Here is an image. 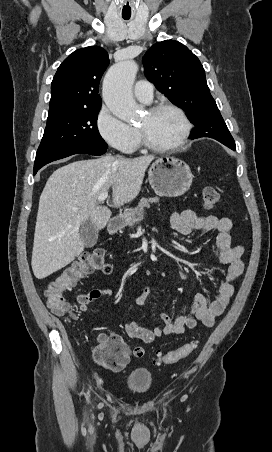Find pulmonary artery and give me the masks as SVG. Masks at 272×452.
I'll return each mask as SVG.
<instances>
[{
    "label": "pulmonary artery",
    "mask_w": 272,
    "mask_h": 452,
    "mask_svg": "<svg viewBox=\"0 0 272 452\" xmlns=\"http://www.w3.org/2000/svg\"><path fill=\"white\" fill-rule=\"evenodd\" d=\"M134 95L138 101L150 103L153 99V85L148 81H138L134 87Z\"/></svg>",
    "instance_id": "1"
}]
</instances>
